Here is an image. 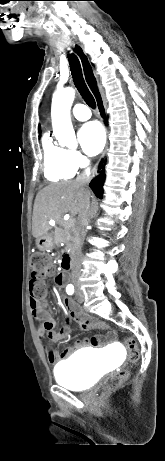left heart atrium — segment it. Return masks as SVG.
<instances>
[{
    "label": "left heart atrium",
    "instance_id": "obj_1",
    "mask_svg": "<svg viewBox=\"0 0 165 461\" xmlns=\"http://www.w3.org/2000/svg\"><path fill=\"white\" fill-rule=\"evenodd\" d=\"M79 141L85 153L99 154L105 145V132L97 122H88L79 130Z\"/></svg>",
    "mask_w": 165,
    "mask_h": 461
}]
</instances>
